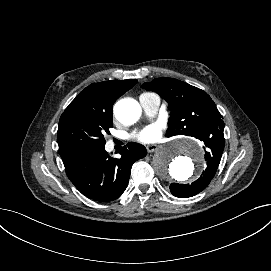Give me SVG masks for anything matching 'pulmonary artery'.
<instances>
[{
  "instance_id": "obj_1",
  "label": "pulmonary artery",
  "mask_w": 271,
  "mask_h": 271,
  "mask_svg": "<svg viewBox=\"0 0 271 271\" xmlns=\"http://www.w3.org/2000/svg\"><path fill=\"white\" fill-rule=\"evenodd\" d=\"M140 104L144 110V112L148 116H154L157 114L159 106H160V98L156 94L145 93L139 97ZM113 147V143L111 140H108L105 144V150L109 152Z\"/></svg>"
}]
</instances>
